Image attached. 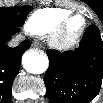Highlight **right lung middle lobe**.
Returning <instances> with one entry per match:
<instances>
[{
  "mask_svg": "<svg viewBox=\"0 0 103 103\" xmlns=\"http://www.w3.org/2000/svg\"><path fill=\"white\" fill-rule=\"evenodd\" d=\"M30 11L31 7L28 5L21 7H1L0 25L21 27Z\"/></svg>",
  "mask_w": 103,
  "mask_h": 103,
  "instance_id": "right-lung-middle-lobe-1",
  "label": "right lung middle lobe"
}]
</instances>
